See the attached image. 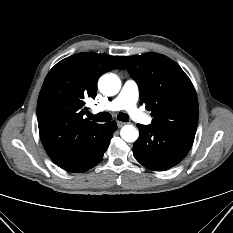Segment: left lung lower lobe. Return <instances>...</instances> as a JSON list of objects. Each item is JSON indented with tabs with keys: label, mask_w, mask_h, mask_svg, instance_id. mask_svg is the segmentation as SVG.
<instances>
[{
	"label": "left lung lower lobe",
	"mask_w": 233,
	"mask_h": 233,
	"mask_svg": "<svg viewBox=\"0 0 233 233\" xmlns=\"http://www.w3.org/2000/svg\"><path fill=\"white\" fill-rule=\"evenodd\" d=\"M140 131L133 146L135 159L153 171H165L178 164L190 151L195 134L179 133L137 125Z\"/></svg>",
	"instance_id": "left-lung-lower-lobe-1"
}]
</instances>
